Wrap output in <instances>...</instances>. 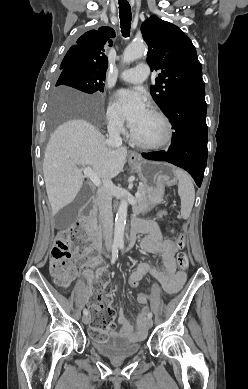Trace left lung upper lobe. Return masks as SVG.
<instances>
[{"instance_id":"obj_1","label":"left lung upper lobe","mask_w":248,"mask_h":389,"mask_svg":"<svg viewBox=\"0 0 248 389\" xmlns=\"http://www.w3.org/2000/svg\"><path fill=\"white\" fill-rule=\"evenodd\" d=\"M141 32L148 44L147 63L151 70H161L150 92L163 112L181 95L205 89L196 49L177 26L153 15Z\"/></svg>"}]
</instances>
